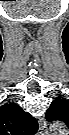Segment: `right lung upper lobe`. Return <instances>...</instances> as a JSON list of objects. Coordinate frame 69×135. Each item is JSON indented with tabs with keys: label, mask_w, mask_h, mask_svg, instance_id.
<instances>
[{
	"label": "right lung upper lobe",
	"mask_w": 69,
	"mask_h": 135,
	"mask_svg": "<svg viewBox=\"0 0 69 135\" xmlns=\"http://www.w3.org/2000/svg\"><path fill=\"white\" fill-rule=\"evenodd\" d=\"M0 125L3 135H26L38 129L36 119L14 103L0 107Z\"/></svg>",
	"instance_id": "cb5924a9"
}]
</instances>
